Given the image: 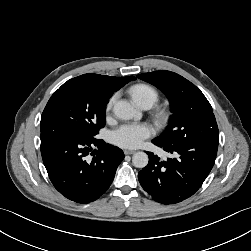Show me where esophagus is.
I'll list each match as a JSON object with an SVG mask.
<instances>
[{"label": "esophagus", "instance_id": "esophagus-1", "mask_svg": "<svg viewBox=\"0 0 251 251\" xmlns=\"http://www.w3.org/2000/svg\"><path fill=\"white\" fill-rule=\"evenodd\" d=\"M136 151L134 150H124V154L125 155H131V154H134Z\"/></svg>", "mask_w": 251, "mask_h": 251}]
</instances>
